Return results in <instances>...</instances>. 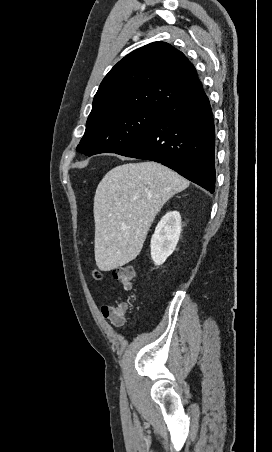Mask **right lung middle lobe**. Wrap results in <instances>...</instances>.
Returning <instances> with one entry per match:
<instances>
[{"label":"right lung middle lobe","mask_w":272,"mask_h":452,"mask_svg":"<svg viewBox=\"0 0 272 452\" xmlns=\"http://www.w3.org/2000/svg\"><path fill=\"white\" fill-rule=\"evenodd\" d=\"M162 113L130 109L87 120L77 151L87 156L105 152L117 154L141 137Z\"/></svg>","instance_id":"dd1d6c3e"}]
</instances>
